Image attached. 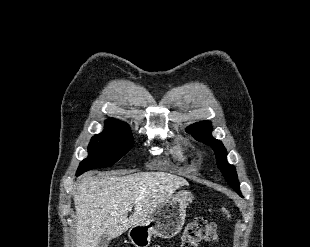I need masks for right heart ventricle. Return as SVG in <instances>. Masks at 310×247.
Returning <instances> with one entry per match:
<instances>
[{"instance_id": "right-heart-ventricle-1", "label": "right heart ventricle", "mask_w": 310, "mask_h": 247, "mask_svg": "<svg viewBox=\"0 0 310 247\" xmlns=\"http://www.w3.org/2000/svg\"><path fill=\"white\" fill-rule=\"evenodd\" d=\"M173 155L181 161H186L190 155V150L182 144H176L172 148Z\"/></svg>"}]
</instances>
